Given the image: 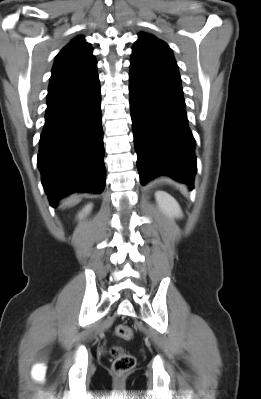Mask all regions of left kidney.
Here are the masks:
<instances>
[{
  "instance_id": "obj_1",
  "label": "left kidney",
  "mask_w": 261,
  "mask_h": 399,
  "mask_svg": "<svg viewBox=\"0 0 261 399\" xmlns=\"http://www.w3.org/2000/svg\"><path fill=\"white\" fill-rule=\"evenodd\" d=\"M155 198L159 208L168 216L180 218L183 216L178 202L168 193L164 191H157Z\"/></svg>"
}]
</instances>
